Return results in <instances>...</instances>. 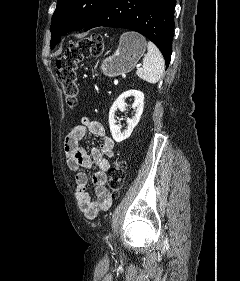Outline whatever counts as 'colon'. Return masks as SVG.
<instances>
[{
    "mask_svg": "<svg viewBox=\"0 0 240 281\" xmlns=\"http://www.w3.org/2000/svg\"><path fill=\"white\" fill-rule=\"evenodd\" d=\"M104 51L103 38L99 34H92L75 43L70 44L56 61L58 81L62 87L68 106L77 105L79 86L77 83L78 64L87 57L99 56ZM125 167L122 160H117L109 169L108 187L112 197H117L123 187Z\"/></svg>",
    "mask_w": 240,
    "mask_h": 281,
    "instance_id": "1",
    "label": "colon"
}]
</instances>
